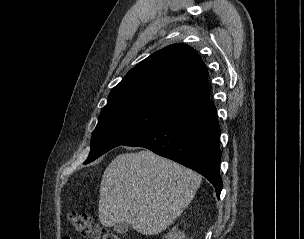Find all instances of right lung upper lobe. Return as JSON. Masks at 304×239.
<instances>
[{
    "mask_svg": "<svg viewBox=\"0 0 304 239\" xmlns=\"http://www.w3.org/2000/svg\"><path fill=\"white\" fill-rule=\"evenodd\" d=\"M209 100L205 64L185 44L167 46L132 68L115 86L101 114L144 109L176 117Z\"/></svg>",
    "mask_w": 304,
    "mask_h": 239,
    "instance_id": "obj_1",
    "label": "right lung upper lobe"
}]
</instances>
